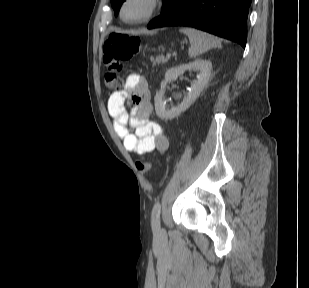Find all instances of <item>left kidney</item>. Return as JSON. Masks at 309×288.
Instances as JSON below:
<instances>
[{
    "mask_svg": "<svg viewBox=\"0 0 309 288\" xmlns=\"http://www.w3.org/2000/svg\"><path fill=\"white\" fill-rule=\"evenodd\" d=\"M196 69L200 71L197 80L191 84V89L187 96L183 99L180 105L171 109H166L164 98V89L168 82L176 79L179 75L183 74L187 70ZM212 71V63L207 60L197 59L188 64H182L178 67L170 68L165 73V79L161 82L160 91L156 93L154 98L155 110L157 115L162 119H172L186 109L197 99L203 88L207 85Z\"/></svg>",
    "mask_w": 309,
    "mask_h": 288,
    "instance_id": "1",
    "label": "left kidney"
}]
</instances>
